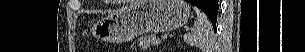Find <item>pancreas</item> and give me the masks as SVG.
<instances>
[{
    "instance_id": "pancreas-1",
    "label": "pancreas",
    "mask_w": 305,
    "mask_h": 52,
    "mask_svg": "<svg viewBox=\"0 0 305 52\" xmlns=\"http://www.w3.org/2000/svg\"><path fill=\"white\" fill-rule=\"evenodd\" d=\"M141 49H147L151 45H158L160 40L155 35H145L138 39Z\"/></svg>"
}]
</instances>
